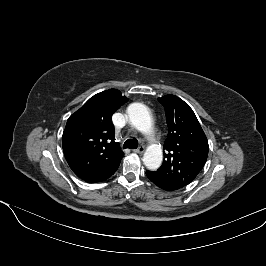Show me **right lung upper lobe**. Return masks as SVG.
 Segmentation results:
<instances>
[{"label":"right lung upper lobe","instance_id":"cb5924a9","mask_svg":"<svg viewBox=\"0 0 266 266\" xmlns=\"http://www.w3.org/2000/svg\"><path fill=\"white\" fill-rule=\"evenodd\" d=\"M127 101L119 90L109 89L69 117L62 147L70 168L84 181L102 182L118 169L123 152L115 142L111 117Z\"/></svg>","mask_w":266,"mask_h":266}]
</instances>
